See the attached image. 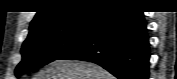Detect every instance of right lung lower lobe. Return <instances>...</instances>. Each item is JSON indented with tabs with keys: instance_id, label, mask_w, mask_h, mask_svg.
<instances>
[{
	"instance_id": "98d812e1",
	"label": "right lung lower lobe",
	"mask_w": 177,
	"mask_h": 79,
	"mask_svg": "<svg viewBox=\"0 0 177 79\" xmlns=\"http://www.w3.org/2000/svg\"><path fill=\"white\" fill-rule=\"evenodd\" d=\"M149 39L143 12L107 9L88 36L61 59L96 63L118 79H148Z\"/></svg>"
}]
</instances>
